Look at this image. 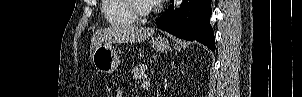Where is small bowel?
Masks as SVG:
<instances>
[{"label":"small bowel","instance_id":"1","mask_svg":"<svg viewBox=\"0 0 302 97\" xmlns=\"http://www.w3.org/2000/svg\"><path fill=\"white\" fill-rule=\"evenodd\" d=\"M117 97H124V93L122 89H119L117 92Z\"/></svg>","mask_w":302,"mask_h":97}]
</instances>
